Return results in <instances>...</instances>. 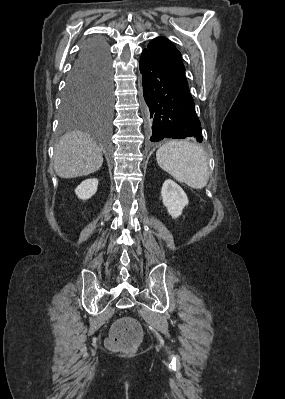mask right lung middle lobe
<instances>
[{
	"label": "right lung middle lobe",
	"instance_id": "right-lung-middle-lobe-1",
	"mask_svg": "<svg viewBox=\"0 0 285 399\" xmlns=\"http://www.w3.org/2000/svg\"><path fill=\"white\" fill-rule=\"evenodd\" d=\"M94 38L104 40L101 37ZM111 103L110 65L93 63L72 69L62 96V129H66L91 110L108 120L111 114Z\"/></svg>",
	"mask_w": 285,
	"mask_h": 399
}]
</instances>
